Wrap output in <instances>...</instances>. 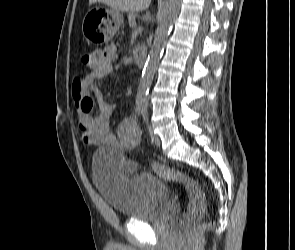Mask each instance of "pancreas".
Listing matches in <instances>:
<instances>
[{
    "instance_id": "pancreas-1",
    "label": "pancreas",
    "mask_w": 295,
    "mask_h": 250,
    "mask_svg": "<svg viewBox=\"0 0 295 250\" xmlns=\"http://www.w3.org/2000/svg\"><path fill=\"white\" fill-rule=\"evenodd\" d=\"M136 17H137V14L135 12L129 13L128 14L129 24H131L132 22H136Z\"/></svg>"
}]
</instances>
